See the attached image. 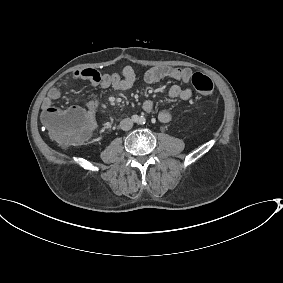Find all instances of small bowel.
I'll return each mask as SVG.
<instances>
[{
    "instance_id": "1",
    "label": "small bowel",
    "mask_w": 283,
    "mask_h": 283,
    "mask_svg": "<svg viewBox=\"0 0 283 283\" xmlns=\"http://www.w3.org/2000/svg\"><path fill=\"white\" fill-rule=\"evenodd\" d=\"M192 72L187 68H175L169 66H154L145 72L144 80L148 84H155L163 79L169 78L180 82L181 84H187L190 81ZM74 77L81 79L93 87H97L101 90L113 89L116 91L129 90L136 79L134 69L130 66H126L122 70V74L119 73H104L101 74L95 69L85 68L74 72ZM167 96L169 99H181L188 100L192 97V90L189 87H183L180 84H174L170 87ZM61 98V92L58 88H51L46 98L43 101V111L47 112L49 109H53V103ZM87 114L93 118L94 114L99 109L101 104L100 99H90L86 101ZM142 108L145 112L151 113L155 109V103L152 100L144 101ZM158 119L161 123H169L172 116L169 111L163 110L158 114Z\"/></svg>"
}]
</instances>
